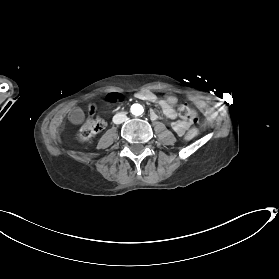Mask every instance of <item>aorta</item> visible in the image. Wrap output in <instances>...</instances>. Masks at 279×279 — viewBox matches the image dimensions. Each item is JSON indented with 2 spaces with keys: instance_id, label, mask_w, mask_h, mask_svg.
Returning <instances> with one entry per match:
<instances>
[{
  "instance_id": "obj_1",
  "label": "aorta",
  "mask_w": 279,
  "mask_h": 279,
  "mask_svg": "<svg viewBox=\"0 0 279 279\" xmlns=\"http://www.w3.org/2000/svg\"><path fill=\"white\" fill-rule=\"evenodd\" d=\"M144 109L140 104H133L131 106V113L135 116H139L143 113Z\"/></svg>"
}]
</instances>
